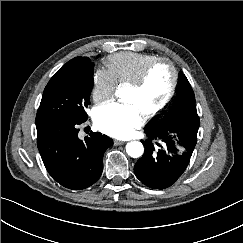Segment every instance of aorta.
<instances>
[{
  "instance_id": "1",
  "label": "aorta",
  "mask_w": 243,
  "mask_h": 243,
  "mask_svg": "<svg viewBox=\"0 0 243 243\" xmlns=\"http://www.w3.org/2000/svg\"><path fill=\"white\" fill-rule=\"evenodd\" d=\"M126 152L132 158H138L142 156L144 147L139 141H132L126 145Z\"/></svg>"
}]
</instances>
